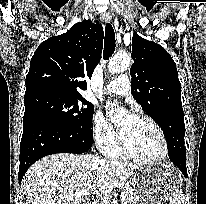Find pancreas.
Instances as JSON below:
<instances>
[{
	"label": "pancreas",
	"mask_w": 206,
	"mask_h": 204,
	"mask_svg": "<svg viewBox=\"0 0 206 204\" xmlns=\"http://www.w3.org/2000/svg\"><path fill=\"white\" fill-rule=\"evenodd\" d=\"M126 197L122 199V204H136L137 196L133 194L130 187L125 190Z\"/></svg>",
	"instance_id": "cf45deb5"
}]
</instances>
